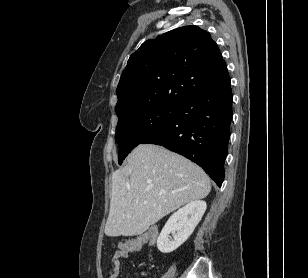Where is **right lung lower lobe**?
<instances>
[{
	"instance_id": "right-lung-lower-lobe-1",
	"label": "right lung lower lobe",
	"mask_w": 308,
	"mask_h": 278,
	"mask_svg": "<svg viewBox=\"0 0 308 278\" xmlns=\"http://www.w3.org/2000/svg\"><path fill=\"white\" fill-rule=\"evenodd\" d=\"M230 79L178 105L177 117L142 143L157 144L201 166L221 186L232 120Z\"/></svg>"
}]
</instances>
